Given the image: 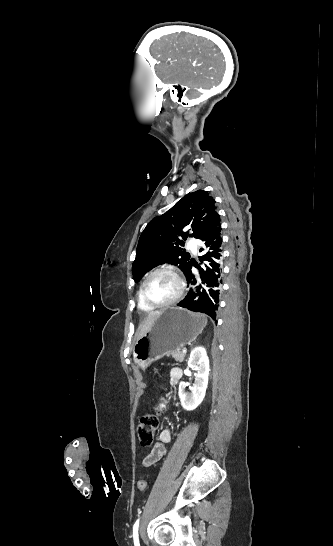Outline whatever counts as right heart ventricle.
Here are the masks:
<instances>
[{"label": "right heart ventricle", "instance_id": "e07e8e85", "mask_svg": "<svg viewBox=\"0 0 333 546\" xmlns=\"http://www.w3.org/2000/svg\"><path fill=\"white\" fill-rule=\"evenodd\" d=\"M137 301H138V307L140 310L144 312H152L155 308L149 306L142 298L141 291L139 289L138 295H137Z\"/></svg>", "mask_w": 333, "mask_h": 546}]
</instances>
